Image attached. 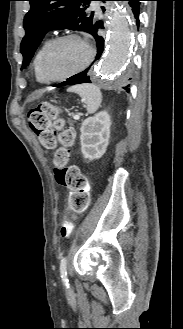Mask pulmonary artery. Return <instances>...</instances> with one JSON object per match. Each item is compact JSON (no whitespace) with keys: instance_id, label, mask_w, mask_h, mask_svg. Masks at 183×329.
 I'll return each instance as SVG.
<instances>
[{"instance_id":"1","label":"pulmonary artery","mask_w":183,"mask_h":329,"mask_svg":"<svg viewBox=\"0 0 183 329\" xmlns=\"http://www.w3.org/2000/svg\"><path fill=\"white\" fill-rule=\"evenodd\" d=\"M90 9L94 10L96 14H100L101 10H100V6L97 2H92L90 4Z\"/></svg>"}]
</instances>
